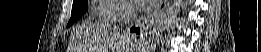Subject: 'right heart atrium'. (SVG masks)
Returning <instances> with one entry per match:
<instances>
[{
    "instance_id": "right-heart-atrium-1",
    "label": "right heart atrium",
    "mask_w": 261,
    "mask_h": 52,
    "mask_svg": "<svg viewBox=\"0 0 261 52\" xmlns=\"http://www.w3.org/2000/svg\"><path fill=\"white\" fill-rule=\"evenodd\" d=\"M112 3L120 4V8L116 10L112 15L118 18H131L134 14V9L130 4H127L123 0H105ZM123 3V4H122ZM125 3V4H124Z\"/></svg>"
}]
</instances>
